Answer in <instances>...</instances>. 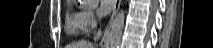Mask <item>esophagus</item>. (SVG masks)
Segmentation results:
<instances>
[{
  "instance_id": "1",
  "label": "esophagus",
  "mask_w": 213,
  "mask_h": 48,
  "mask_svg": "<svg viewBox=\"0 0 213 48\" xmlns=\"http://www.w3.org/2000/svg\"><path fill=\"white\" fill-rule=\"evenodd\" d=\"M120 5H121V0H116V1H115V5H114V9H113V13H112V16H111V19H110V21H109V23H108V25H107V27H106V29H105V31H104V35H103L102 40H101V42H100V46H101V47H103V43L105 42V39H106V37L108 36V33H109V30H110L112 21H113V19H114L115 14H116L117 11L119 10Z\"/></svg>"
}]
</instances>
